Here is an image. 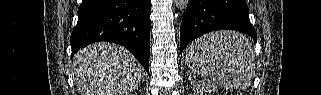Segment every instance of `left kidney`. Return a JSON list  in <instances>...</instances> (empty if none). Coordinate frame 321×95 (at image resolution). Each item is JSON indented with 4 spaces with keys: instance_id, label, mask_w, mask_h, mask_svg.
<instances>
[{
    "instance_id": "obj_1",
    "label": "left kidney",
    "mask_w": 321,
    "mask_h": 95,
    "mask_svg": "<svg viewBox=\"0 0 321 95\" xmlns=\"http://www.w3.org/2000/svg\"><path fill=\"white\" fill-rule=\"evenodd\" d=\"M210 89L211 88H209V87H202L199 91H197V94L198 95H204V94H206L207 92H209L210 91Z\"/></svg>"
}]
</instances>
